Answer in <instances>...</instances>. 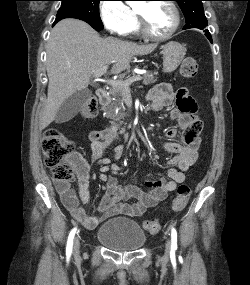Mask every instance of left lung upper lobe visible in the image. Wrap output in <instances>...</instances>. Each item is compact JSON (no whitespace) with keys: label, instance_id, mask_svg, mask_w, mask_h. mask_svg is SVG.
Masks as SVG:
<instances>
[{"label":"left lung upper lobe","instance_id":"obj_1","mask_svg":"<svg viewBox=\"0 0 250 285\" xmlns=\"http://www.w3.org/2000/svg\"><path fill=\"white\" fill-rule=\"evenodd\" d=\"M179 4L184 16L186 25L183 29L197 28L208 31L207 19L204 14L202 1L204 0H175Z\"/></svg>","mask_w":250,"mask_h":285}]
</instances>
